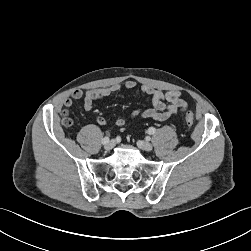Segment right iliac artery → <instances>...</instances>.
Returning <instances> with one entry per match:
<instances>
[{
	"instance_id": "obj_1",
	"label": "right iliac artery",
	"mask_w": 251,
	"mask_h": 251,
	"mask_svg": "<svg viewBox=\"0 0 251 251\" xmlns=\"http://www.w3.org/2000/svg\"><path fill=\"white\" fill-rule=\"evenodd\" d=\"M108 142H109V137H104V138L102 139V144H103V145H106Z\"/></svg>"
}]
</instances>
